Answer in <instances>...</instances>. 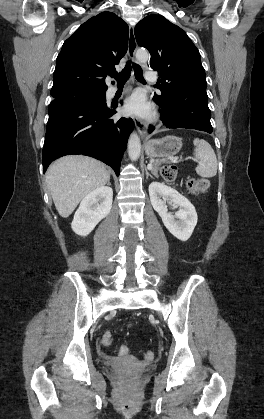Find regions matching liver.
<instances>
[{"instance_id": "6515ba94", "label": "liver", "mask_w": 264, "mask_h": 419, "mask_svg": "<svg viewBox=\"0 0 264 419\" xmlns=\"http://www.w3.org/2000/svg\"><path fill=\"white\" fill-rule=\"evenodd\" d=\"M110 173L94 158L80 155L62 157L51 164L46 181L58 213L69 217L80 201L104 186Z\"/></svg>"}]
</instances>
